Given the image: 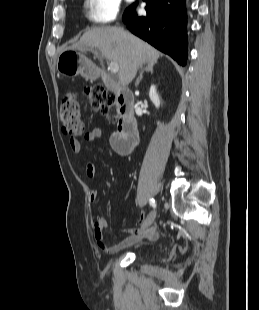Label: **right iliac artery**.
<instances>
[{
    "instance_id": "1",
    "label": "right iliac artery",
    "mask_w": 259,
    "mask_h": 310,
    "mask_svg": "<svg viewBox=\"0 0 259 310\" xmlns=\"http://www.w3.org/2000/svg\"><path fill=\"white\" fill-rule=\"evenodd\" d=\"M149 203H150V205H151L153 208L156 207V203H155V200H154L153 198L149 200Z\"/></svg>"
}]
</instances>
